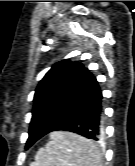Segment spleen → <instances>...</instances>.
<instances>
[{
  "label": "spleen",
  "instance_id": "obj_1",
  "mask_svg": "<svg viewBox=\"0 0 135 166\" xmlns=\"http://www.w3.org/2000/svg\"><path fill=\"white\" fill-rule=\"evenodd\" d=\"M31 166H103L96 144L70 132L55 131L40 148Z\"/></svg>",
  "mask_w": 135,
  "mask_h": 166
}]
</instances>
